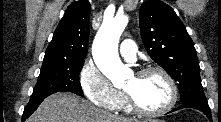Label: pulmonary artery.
I'll return each instance as SVG.
<instances>
[{"label":"pulmonary artery","mask_w":221,"mask_h":122,"mask_svg":"<svg viewBox=\"0 0 221 122\" xmlns=\"http://www.w3.org/2000/svg\"><path fill=\"white\" fill-rule=\"evenodd\" d=\"M119 52L125 60L129 62L135 61L137 52L135 42L132 39L123 40L120 44Z\"/></svg>","instance_id":"pulmonary-artery-1"}]
</instances>
